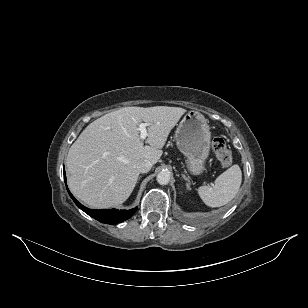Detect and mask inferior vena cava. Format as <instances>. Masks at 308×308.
I'll return each instance as SVG.
<instances>
[{
    "label": "inferior vena cava",
    "mask_w": 308,
    "mask_h": 308,
    "mask_svg": "<svg viewBox=\"0 0 308 308\" xmlns=\"http://www.w3.org/2000/svg\"><path fill=\"white\" fill-rule=\"evenodd\" d=\"M152 165L151 161L144 159L137 163L136 168L140 173H146L151 170Z\"/></svg>",
    "instance_id": "obj_1"
}]
</instances>
